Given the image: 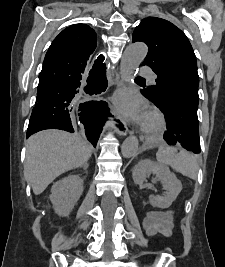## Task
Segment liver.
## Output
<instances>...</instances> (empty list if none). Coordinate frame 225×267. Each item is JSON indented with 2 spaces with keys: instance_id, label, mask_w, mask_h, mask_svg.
Returning a JSON list of instances; mask_svg holds the SVG:
<instances>
[{
  "instance_id": "obj_1",
  "label": "liver",
  "mask_w": 225,
  "mask_h": 267,
  "mask_svg": "<svg viewBox=\"0 0 225 267\" xmlns=\"http://www.w3.org/2000/svg\"><path fill=\"white\" fill-rule=\"evenodd\" d=\"M91 154V146L78 134L44 130L27 141L24 176L39 195L64 172L86 164Z\"/></svg>"
}]
</instances>
